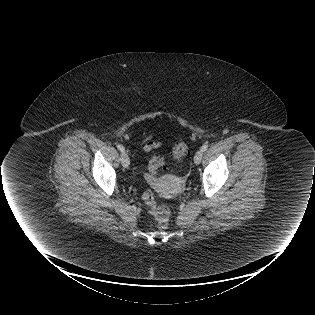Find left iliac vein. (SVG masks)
<instances>
[{
	"instance_id": "obj_1",
	"label": "left iliac vein",
	"mask_w": 315,
	"mask_h": 315,
	"mask_svg": "<svg viewBox=\"0 0 315 315\" xmlns=\"http://www.w3.org/2000/svg\"><path fill=\"white\" fill-rule=\"evenodd\" d=\"M202 157H203V152L201 150L197 151L195 156H194L195 164H199L202 160Z\"/></svg>"
}]
</instances>
